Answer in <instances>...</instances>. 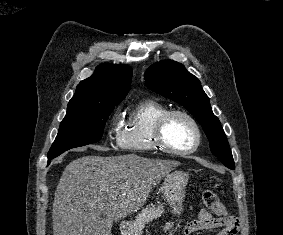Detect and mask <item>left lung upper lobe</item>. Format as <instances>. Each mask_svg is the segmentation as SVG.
<instances>
[{
	"label": "left lung upper lobe",
	"instance_id": "5c2ea615",
	"mask_svg": "<svg viewBox=\"0 0 283 235\" xmlns=\"http://www.w3.org/2000/svg\"><path fill=\"white\" fill-rule=\"evenodd\" d=\"M147 86L186 108L202 125L212 153L226 160L233 156L219 119L213 114L209 97L201 83L185 67L173 60L151 65L144 75Z\"/></svg>",
	"mask_w": 283,
	"mask_h": 235
}]
</instances>
